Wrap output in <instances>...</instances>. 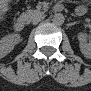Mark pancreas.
<instances>
[{"label":"pancreas","mask_w":91,"mask_h":91,"mask_svg":"<svg viewBox=\"0 0 91 91\" xmlns=\"http://www.w3.org/2000/svg\"><path fill=\"white\" fill-rule=\"evenodd\" d=\"M39 13V10H27L26 12L22 13V17L31 20L34 17H36Z\"/></svg>","instance_id":"obj_1"}]
</instances>
